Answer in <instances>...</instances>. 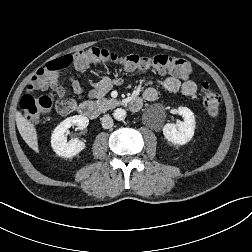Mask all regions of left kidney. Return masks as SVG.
Here are the masks:
<instances>
[{
  "instance_id": "1",
  "label": "left kidney",
  "mask_w": 252,
  "mask_h": 252,
  "mask_svg": "<svg viewBox=\"0 0 252 252\" xmlns=\"http://www.w3.org/2000/svg\"><path fill=\"white\" fill-rule=\"evenodd\" d=\"M178 114L184 119L178 125L167 123L163 127L164 137L169 141L177 145H184L189 142L195 129V117L193 112L187 107H179Z\"/></svg>"
}]
</instances>
